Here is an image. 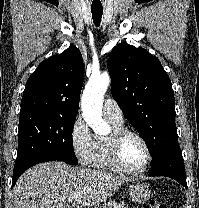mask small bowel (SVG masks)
I'll use <instances>...</instances> for the list:
<instances>
[{"mask_svg":"<svg viewBox=\"0 0 199 208\" xmlns=\"http://www.w3.org/2000/svg\"><path fill=\"white\" fill-rule=\"evenodd\" d=\"M129 208H138V207H129Z\"/></svg>","mask_w":199,"mask_h":208,"instance_id":"small-bowel-1","label":"small bowel"}]
</instances>
